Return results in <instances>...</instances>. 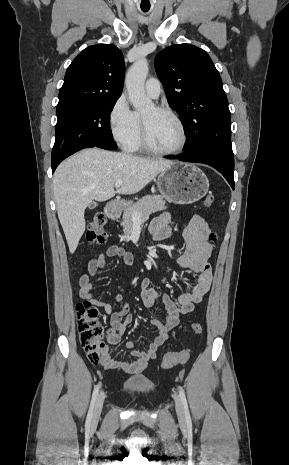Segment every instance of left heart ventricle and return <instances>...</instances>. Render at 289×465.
<instances>
[{"mask_svg": "<svg viewBox=\"0 0 289 465\" xmlns=\"http://www.w3.org/2000/svg\"><path fill=\"white\" fill-rule=\"evenodd\" d=\"M151 144L162 150H172L181 143V131L176 121L153 106L142 112Z\"/></svg>", "mask_w": 289, "mask_h": 465, "instance_id": "left-heart-ventricle-1", "label": "left heart ventricle"}]
</instances>
